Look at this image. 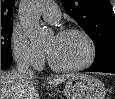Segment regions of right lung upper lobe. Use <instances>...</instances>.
<instances>
[{
  "label": "right lung upper lobe",
  "instance_id": "1",
  "mask_svg": "<svg viewBox=\"0 0 115 99\" xmlns=\"http://www.w3.org/2000/svg\"><path fill=\"white\" fill-rule=\"evenodd\" d=\"M14 0H1V25H13Z\"/></svg>",
  "mask_w": 115,
  "mask_h": 99
}]
</instances>
